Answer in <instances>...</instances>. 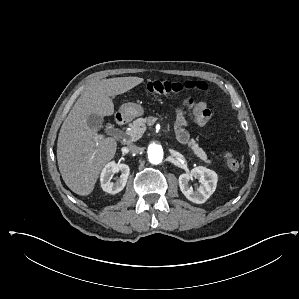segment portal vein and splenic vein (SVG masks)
<instances>
[{
  "label": "portal vein and splenic vein",
  "instance_id": "1",
  "mask_svg": "<svg viewBox=\"0 0 299 299\" xmlns=\"http://www.w3.org/2000/svg\"><path fill=\"white\" fill-rule=\"evenodd\" d=\"M103 136L102 135H97L96 138L97 139H101Z\"/></svg>",
  "mask_w": 299,
  "mask_h": 299
}]
</instances>
